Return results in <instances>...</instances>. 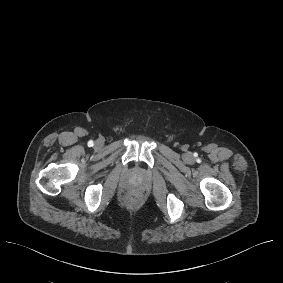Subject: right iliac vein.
I'll list each match as a JSON object with an SVG mask.
<instances>
[{
  "label": "right iliac vein",
  "mask_w": 283,
  "mask_h": 283,
  "mask_svg": "<svg viewBox=\"0 0 283 283\" xmlns=\"http://www.w3.org/2000/svg\"><path fill=\"white\" fill-rule=\"evenodd\" d=\"M102 145H103V141L100 140V139H98V140L95 142V144H94V146H95L96 148H100V147H102Z\"/></svg>",
  "instance_id": "obj_1"
}]
</instances>
